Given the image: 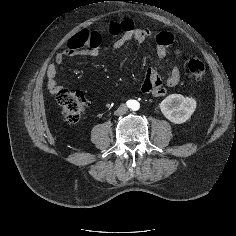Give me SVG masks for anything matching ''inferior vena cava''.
<instances>
[{
    "instance_id": "obj_1",
    "label": "inferior vena cava",
    "mask_w": 236,
    "mask_h": 236,
    "mask_svg": "<svg viewBox=\"0 0 236 236\" xmlns=\"http://www.w3.org/2000/svg\"><path fill=\"white\" fill-rule=\"evenodd\" d=\"M127 110L128 107L125 104H122L114 113L115 115H123L127 112Z\"/></svg>"
}]
</instances>
